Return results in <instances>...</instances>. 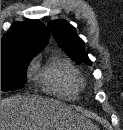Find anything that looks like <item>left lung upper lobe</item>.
I'll list each match as a JSON object with an SVG mask.
<instances>
[{"mask_svg":"<svg viewBox=\"0 0 123 130\" xmlns=\"http://www.w3.org/2000/svg\"><path fill=\"white\" fill-rule=\"evenodd\" d=\"M55 40L77 64L91 65L92 62L85 52L83 40L77 35L75 28L66 20H54L48 23Z\"/></svg>","mask_w":123,"mask_h":130,"instance_id":"1","label":"left lung upper lobe"}]
</instances>
